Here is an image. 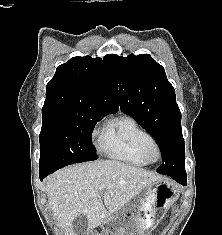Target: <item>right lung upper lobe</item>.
<instances>
[{"label":"right lung upper lobe","instance_id":"cb5924a9","mask_svg":"<svg viewBox=\"0 0 222 235\" xmlns=\"http://www.w3.org/2000/svg\"><path fill=\"white\" fill-rule=\"evenodd\" d=\"M56 110L107 115L119 110L106 66L101 58L73 57L56 69L46 86L42 114Z\"/></svg>","mask_w":222,"mask_h":235}]
</instances>
